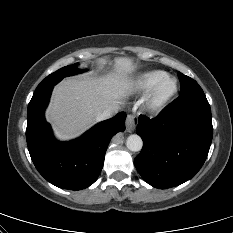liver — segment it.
<instances>
[{
	"instance_id": "obj_1",
	"label": "liver",
	"mask_w": 233,
	"mask_h": 233,
	"mask_svg": "<svg viewBox=\"0 0 233 233\" xmlns=\"http://www.w3.org/2000/svg\"><path fill=\"white\" fill-rule=\"evenodd\" d=\"M134 69L131 59L119 57L113 73L69 77L55 86L46 111L55 135L61 140L72 139L94 125L98 114L118 106L133 85L130 74Z\"/></svg>"
}]
</instances>
